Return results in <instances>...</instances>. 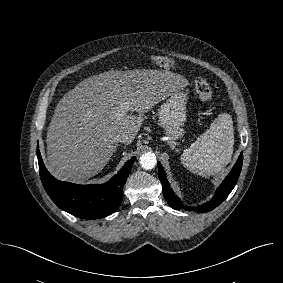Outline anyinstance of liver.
Wrapping results in <instances>:
<instances>
[{
    "instance_id": "liver-1",
    "label": "liver",
    "mask_w": 283,
    "mask_h": 283,
    "mask_svg": "<svg viewBox=\"0 0 283 283\" xmlns=\"http://www.w3.org/2000/svg\"><path fill=\"white\" fill-rule=\"evenodd\" d=\"M187 84L179 74L151 69L110 70L86 78L56 106L46 137L48 171L74 183L98 174L115 151V137L125 135L131 144L141 114ZM122 105L139 115L117 116Z\"/></svg>"
}]
</instances>
